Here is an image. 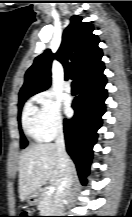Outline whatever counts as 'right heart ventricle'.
I'll return each mask as SVG.
<instances>
[{
	"label": "right heart ventricle",
	"mask_w": 132,
	"mask_h": 217,
	"mask_svg": "<svg viewBox=\"0 0 132 217\" xmlns=\"http://www.w3.org/2000/svg\"><path fill=\"white\" fill-rule=\"evenodd\" d=\"M22 124L26 135L34 140H42L39 132V112L38 109L31 103L27 104L22 118Z\"/></svg>",
	"instance_id": "e07e8e85"
}]
</instances>
